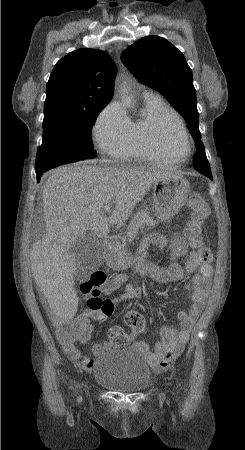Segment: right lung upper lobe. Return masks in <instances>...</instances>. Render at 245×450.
Masks as SVG:
<instances>
[{
    "label": "right lung upper lobe",
    "instance_id": "1",
    "mask_svg": "<svg viewBox=\"0 0 245 450\" xmlns=\"http://www.w3.org/2000/svg\"><path fill=\"white\" fill-rule=\"evenodd\" d=\"M117 68L111 57L96 49H78L55 65L46 87L44 111L51 108L91 110L108 104Z\"/></svg>",
    "mask_w": 245,
    "mask_h": 450
}]
</instances>
